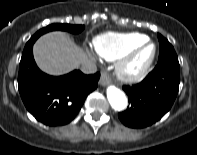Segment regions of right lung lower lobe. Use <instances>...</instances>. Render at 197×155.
<instances>
[{
  "label": "right lung lower lobe",
  "instance_id": "obj_1",
  "mask_svg": "<svg viewBox=\"0 0 197 155\" xmlns=\"http://www.w3.org/2000/svg\"><path fill=\"white\" fill-rule=\"evenodd\" d=\"M33 44L24 48L19 65L18 87L22 101L27 110L45 125L68 124L79 112L87 95L97 88L100 74L85 75L75 70L58 77L47 75L34 61Z\"/></svg>",
  "mask_w": 197,
  "mask_h": 155
}]
</instances>
